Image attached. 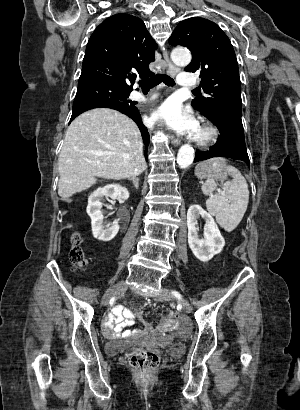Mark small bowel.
Returning a JSON list of instances; mask_svg holds the SVG:
<instances>
[{"label": "small bowel", "instance_id": "obj_1", "mask_svg": "<svg viewBox=\"0 0 300 410\" xmlns=\"http://www.w3.org/2000/svg\"><path fill=\"white\" fill-rule=\"evenodd\" d=\"M135 319H138L133 313L121 305L114 306L106 313L103 322V334L108 339L128 338L138 333L136 330H129Z\"/></svg>", "mask_w": 300, "mask_h": 410}]
</instances>
